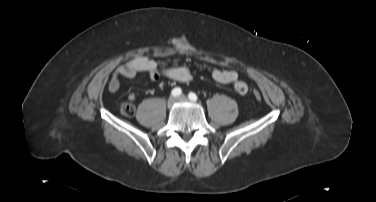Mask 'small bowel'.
Returning <instances> with one entry per match:
<instances>
[{
    "label": "small bowel",
    "instance_id": "c3829d8e",
    "mask_svg": "<svg viewBox=\"0 0 376 202\" xmlns=\"http://www.w3.org/2000/svg\"><path fill=\"white\" fill-rule=\"evenodd\" d=\"M139 73H145L151 80H157L159 77H165L180 83L190 82L193 78L192 72L185 66H170L160 70L156 62L146 56H138L132 58L116 68L112 74L108 90L115 93L120 88L121 78H133ZM213 79L221 84H230L234 82L233 89L238 95H245L248 91V86L245 82L238 80L239 74L235 70L216 69L212 73ZM136 95L130 93L128 95L129 101H134Z\"/></svg>",
    "mask_w": 376,
    "mask_h": 202
}]
</instances>
